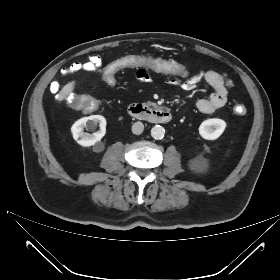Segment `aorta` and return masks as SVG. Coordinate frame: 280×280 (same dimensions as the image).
I'll return each instance as SVG.
<instances>
[{
	"instance_id": "aorta-1",
	"label": "aorta",
	"mask_w": 280,
	"mask_h": 280,
	"mask_svg": "<svg viewBox=\"0 0 280 280\" xmlns=\"http://www.w3.org/2000/svg\"><path fill=\"white\" fill-rule=\"evenodd\" d=\"M165 135V129L160 126V125H155L152 129H151V136L154 139H162Z\"/></svg>"
}]
</instances>
